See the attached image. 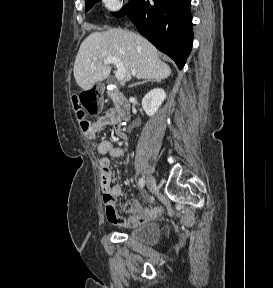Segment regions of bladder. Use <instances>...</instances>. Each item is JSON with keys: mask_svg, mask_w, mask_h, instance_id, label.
<instances>
[{"mask_svg": "<svg viewBox=\"0 0 273 288\" xmlns=\"http://www.w3.org/2000/svg\"><path fill=\"white\" fill-rule=\"evenodd\" d=\"M127 236L140 245L154 246L160 240L161 232L157 224L146 223L133 228Z\"/></svg>", "mask_w": 273, "mask_h": 288, "instance_id": "obj_1", "label": "bladder"}]
</instances>
